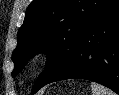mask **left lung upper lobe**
I'll return each mask as SVG.
<instances>
[{"label":"left lung upper lobe","mask_w":119,"mask_h":95,"mask_svg":"<svg viewBox=\"0 0 119 95\" xmlns=\"http://www.w3.org/2000/svg\"><path fill=\"white\" fill-rule=\"evenodd\" d=\"M116 0H33L17 33L13 51L16 75L37 53L48 55L49 63L33 92L62 74L73 62L77 45L88 28Z\"/></svg>","instance_id":"1"}]
</instances>
